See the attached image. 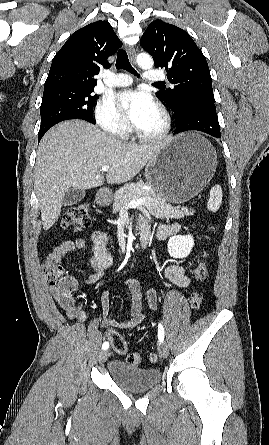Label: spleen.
I'll return each mask as SVG.
<instances>
[{
	"mask_svg": "<svg viewBox=\"0 0 269 445\" xmlns=\"http://www.w3.org/2000/svg\"><path fill=\"white\" fill-rule=\"evenodd\" d=\"M222 188L219 185H215L210 190V197L207 203V209L212 212L219 210L222 203Z\"/></svg>",
	"mask_w": 269,
	"mask_h": 445,
	"instance_id": "3e777b00",
	"label": "spleen"
}]
</instances>
